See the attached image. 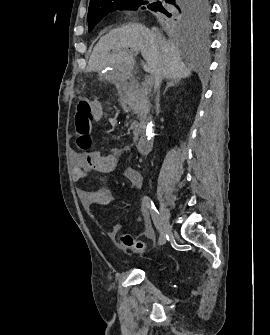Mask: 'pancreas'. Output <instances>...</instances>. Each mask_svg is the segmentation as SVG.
<instances>
[{"instance_id": "pancreas-1", "label": "pancreas", "mask_w": 270, "mask_h": 335, "mask_svg": "<svg viewBox=\"0 0 270 335\" xmlns=\"http://www.w3.org/2000/svg\"><path fill=\"white\" fill-rule=\"evenodd\" d=\"M133 126H134V132H133L134 138H133V140H134V142H137V140L139 138V134H141V130L139 128L138 122H134Z\"/></svg>"}]
</instances>
